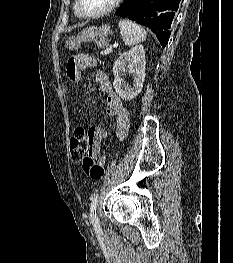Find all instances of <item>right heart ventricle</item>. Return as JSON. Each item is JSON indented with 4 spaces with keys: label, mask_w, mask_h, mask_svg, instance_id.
Listing matches in <instances>:
<instances>
[{
    "label": "right heart ventricle",
    "mask_w": 233,
    "mask_h": 263,
    "mask_svg": "<svg viewBox=\"0 0 233 263\" xmlns=\"http://www.w3.org/2000/svg\"><path fill=\"white\" fill-rule=\"evenodd\" d=\"M75 13H76V15H77L78 17H80V15L78 14V12H77L76 8H75Z\"/></svg>",
    "instance_id": "right-heart-ventricle-1"
}]
</instances>
